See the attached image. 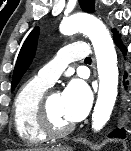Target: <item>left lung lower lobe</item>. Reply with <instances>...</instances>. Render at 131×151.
<instances>
[{"label":"left lung lower lobe","instance_id":"left-lung-lower-lobe-1","mask_svg":"<svg viewBox=\"0 0 131 151\" xmlns=\"http://www.w3.org/2000/svg\"><path fill=\"white\" fill-rule=\"evenodd\" d=\"M114 41L116 43V45L118 46V48L121 50L122 54L125 56L127 49L126 46H124V44L122 43L121 39H120V34H114ZM127 74L124 75V78H127ZM128 81H126L124 83V85H127ZM127 88V86L125 87ZM126 126H124L123 124H120L119 127L115 128L109 135L108 137H118V138H125L126 137Z\"/></svg>","mask_w":131,"mask_h":151}]
</instances>
